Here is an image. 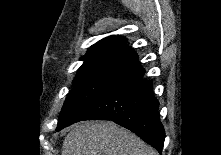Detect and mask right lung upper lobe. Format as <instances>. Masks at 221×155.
<instances>
[{
    "label": "right lung upper lobe",
    "instance_id": "right-lung-upper-lobe-1",
    "mask_svg": "<svg viewBox=\"0 0 221 155\" xmlns=\"http://www.w3.org/2000/svg\"><path fill=\"white\" fill-rule=\"evenodd\" d=\"M132 52L133 50L129 48L123 37L120 38L117 36H109L92 45L85 56L81 59H88L104 55L126 57Z\"/></svg>",
    "mask_w": 221,
    "mask_h": 155
}]
</instances>
